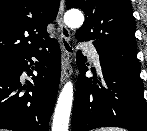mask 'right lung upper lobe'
Instances as JSON below:
<instances>
[{
	"mask_svg": "<svg viewBox=\"0 0 147 131\" xmlns=\"http://www.w3.org/2000/svg\"><path fill=\"white\" fill-rule=\"evenodd\" d=\"M60 0H0V61L39 50L52 41L47 25Z\"/></svg>",
	"mask_w": 147,
	"mask_h": 131,
	"instance_id": "right-lung-upper-lobe-1",
	"label": "right lung upper lobe"
}]
</instances>
